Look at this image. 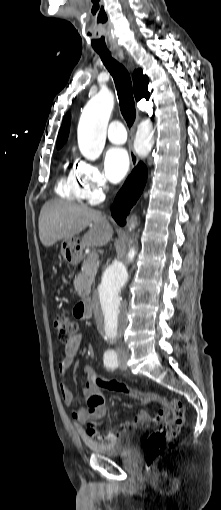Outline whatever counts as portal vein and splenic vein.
I'll return each instance as SVG.
<instances>
[{
	"mask_svg": "<svg viewBox=\"0 0 221 510\" xmlns=\"http://www.w3.org/2000/svg\"><path fill=\"white\" fill-rule=\"evenodd\" d=\"M88 259H89L90 261H94V262H95V261H98V254H97V253H95V252H92V253H90V254L88 255Z\"/></svg>",
	"mask_w": 221,
	"mask_h": 510,
	"instance_id": "portal-vein-and-splenic-vein-1",
	"label": "portal vein and splenic vein"
}]
</instances>
